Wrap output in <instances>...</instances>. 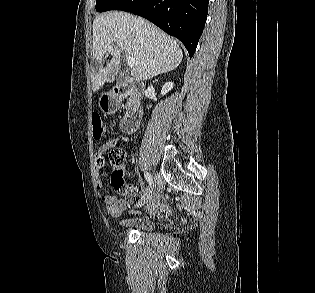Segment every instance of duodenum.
<instances>
[{
    "label": "duodenum",
    "instance_id": "obj_1",
    "mask_svg": "<svg viewBox=\"0 0 315 293\" xmlns=\"http://www.w3.org/2000/svg\"><path fill=\"white\" fill-rule=\"evenodd\" d=\"M113 92H119L121 98L129 97L131 99V103L122 120L121 128L125 133H132L138 128L143 116V110L139 103L143 89L130 82H125L118 85Z\"/></svg>",
    "mask_w": 315,
    "mask_h": 293
}]
</instances>
